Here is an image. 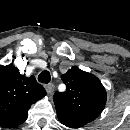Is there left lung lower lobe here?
<instances>
[{
  "mask_svg": "<svg viewBox=\"0 0 130 130\" xmlns=\"http://www.w3.org/2000/svg\"><path fill=\"white\" fill-rule=\"evenodd\" d=\"M57 115H58V119L60 120V122L70 128H79V127H82L83 125L87 124V122L82 121L80 119L70 118L68 116H64V115H61L58 113H57Z\"/></svg>",
  "mask_w": 130,
  "mask_h": 130,
  "instance_id": "1",
  "label": "left lung lower lobe"
}]
</instances>
